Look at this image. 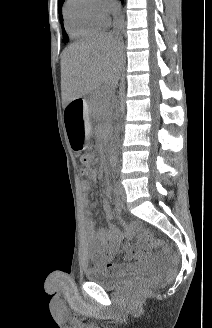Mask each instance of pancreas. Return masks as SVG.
Returning <instances> with one entry per match:
<instances>
[{
  "mask_svg": "<svg viewBox=\"0 0 212 328\" xmlns=\"http://www.w3.org/2000/svg\"><path fill=\"white\" fill-rule=\"evenodd\" d=\"M110 99L103 92H96L93 95L92 107L99 116L106 118L109 114Z\"/></svg>",
  "mask_w": 212,
  "mask_h": 328,
  "instance_id": "obj_1",
  "label": "pancreas"
}]
</instances>
